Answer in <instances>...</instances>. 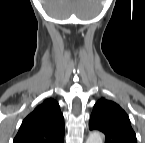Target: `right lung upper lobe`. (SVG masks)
<instances>
[{"label":"right lung upper lobe","instance_id":"cb5924a9","mask_svg":"<svg viewBox=\"0 0 145 143\" xmlns=\"http://www.w3.org/2000/svg\"><path fill=\"white\" fill-rule=\"evenodd\" d=\"M64 118L59 104L47 99L22 122L14 143H63Z\"/></svg>","mask_w":145,"mask_h":143}]
</instances>
